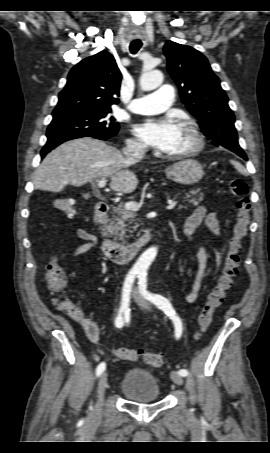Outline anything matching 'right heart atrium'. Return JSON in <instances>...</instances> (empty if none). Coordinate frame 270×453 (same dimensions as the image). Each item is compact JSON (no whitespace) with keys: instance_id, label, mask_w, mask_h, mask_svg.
<instances>
[{"instance_id":"obj_1","label":"right heart atrium","mask_w":270,"mask_h":453,"mask_svg":"<svg viewBox=\"0 0 270 453\" xmlns=\"http://www.w3.org/2000/svg\"><path fill=\"white\" fill-rule=\"evenodd\" d=\"M127 147L132 150L142 151L145 149V145L137 139H128Z\"/></svg>"}]
</instances>
